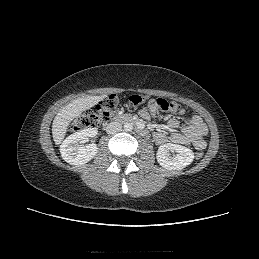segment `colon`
I'll return each mask as SVG.
<instances>
[{
    "instance_id": "obj_1",
    "label": "colon",
    "mask_w": 259,
    "mask_h": 259,
    "mask_svg": "<svg viewBox=\"0 0 259 259\" xmlns=\"http://www.w3.org/2000/svg\"><path fill=\"white\" fill-rule=\"evenodd\" d=\"M129 103L132 106H139L148 102V106L161 111H179L181 105L175 101H169L163 98L150 99L148 96L141 94L130 95ZM119 98L116 95H111L102 102H100L94 111L84 112L79 118H77L70 126V129L81 130L85 128H91L101 125L106 120L113 117L118 110ZM197 159L203 157V152L198 151L195 153Z\"/></svg>"
}]
</instances>
